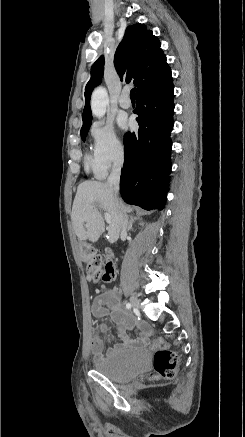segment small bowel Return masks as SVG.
<instances>
[{
	"instance_id": "1",
	"label": "small bowel",
	"mask_w": 245,
	"mask_h": 437,
	"mask_svg": "<svg viewBox=\"0 0 245 437\" xmlns=\"http://www.w3.org/2000/svg\"><path fill=\"white\" fill-rule=\"evenodd\" d=\"M92 314L97 318L108 317L116 324L118 337L124 344H131L133 341L127 335V329L135 325V319L120 308L119 294L116 290H106L99 294L92 304ZM144 332L148 329L143 327ZM104 343L99 337L91 340V352L96 359L103 356Z\"/></svg>"
}]
</instances>
